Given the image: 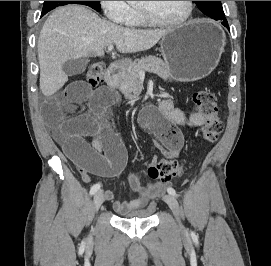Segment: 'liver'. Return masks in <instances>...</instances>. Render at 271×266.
Wrapping results in <instances>:
<instances>
[{"instance_id": "1", "label": "liver", "mask_w": 271, "mask_h": 266, "mask_svg": "<svg viewBox=\"0 0 271 266\" xmlns=\"http://www.w3.org/2000/svg\"><path fill=\"white\" fill-rule=\"evenodd\" d=\"M168 32L118 26L85 6L58 8L47 18L38 39L40 89L48 97L63 87L68 75L61 68L71 57L102 56L104 48L113 44L120 53L145 51Z\"/></svg>"}]
</instances>
